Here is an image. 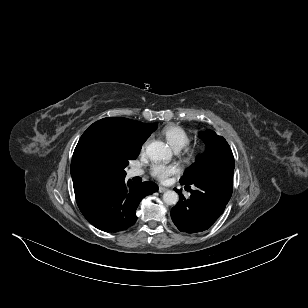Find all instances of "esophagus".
<instances>
[{
  "label": "esophagus",
  "instance_id": "1",
  "mask_svg": "<svg viewBox=\"0 0 308 308\" xmlns=\"http://www.w3.org/2000/svg\"><path fill=\"white\" fill-rule=\"evenodd\" d=\"M167 190H168L167 188L162 187V186H159V189H158V191H159L160 193H164V192H166Z\"/></svg>",
  "mask_w": 308,
  "mask_h": 308
}]
</instances>
